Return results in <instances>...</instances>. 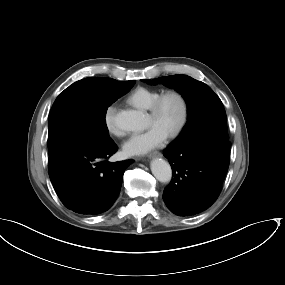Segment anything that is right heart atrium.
Returning <instances> with one entry per match:
<instances>
[{
  "mask_svg": "<svg viewBox=\"0 0 285 285\" xmlns=\"http://www.w3.org/2000/svg\"><path fill=\"white\" fill-rule=\"evenodd\" d=\"M116 107L114 105H108L104 112L105 124L108 131L115 136H123L124 131L116 125L115 122Z\"/></svg>",
  "mask_w": 285,
  "mask_h": 285,
  "instance_id": "right-heart-atrium-1",
  "label": "right heart atrium"
}]
</instances>
